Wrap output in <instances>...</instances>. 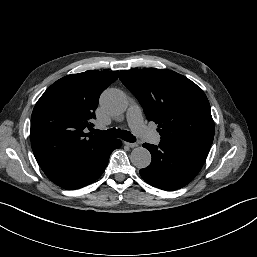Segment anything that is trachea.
Returning a JSON list of instances; mask_svg holds the SVG:
<instances>
[{
	"label": "trachea",
	"mask_w": 257,
	"mask_h": 257,
	"mask_svg": "<svg viewBox=\"0 0 257 257\" xmlns=\"http://www.w3.org/2000/svg\"><path fill=\"white\" fill-rule=\"evenodd\" d=\"M93 134L101 136V137H106V138H115L119 137L127 142H135L136 138L128 131L126 130H120L116 128H111L106 131H101L98 129L93 130Z\"/></svg>",
	"instance_id": "trachea-1"
}]
</instances>
